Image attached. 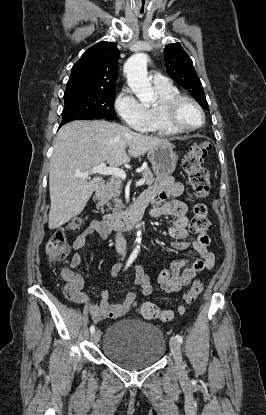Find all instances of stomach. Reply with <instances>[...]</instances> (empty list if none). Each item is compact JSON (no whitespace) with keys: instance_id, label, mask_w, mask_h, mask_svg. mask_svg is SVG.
<instances>
[{"instance_id":"1","label":"stomach","mask_w":266,"mask_h":415,"mask_svg":"<svg viewBox=\"0 0 266 415\" xmlns=\"http://www.w3.org/2000/svg\"><path fill=\"white\" fill-rule=\"evenodd\" d=\"M147 155L157 177L167 176L174 172L177 155L171 146L165 144L154 146L148 150Z\"/></svg>"}]
</instances>
